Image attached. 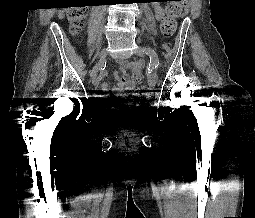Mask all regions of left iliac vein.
<instances>
[{"mask_svg":"<svg viewBox=\"0 0 255 218\" xmlns=\"http://www.w3.org/2000/svg\"><path fill=\"white\" fill-rule=\"evenodd\" d=\"M135 54L137 56H140V57H144L145 56V52H144V50L142 48H138L135 51ZM157 81H158V74H157V72L155 70H153L151 75L148 78L149 85L154 87L156 85Z\"/></svg>","mask_w":255,"mask_h":218,"instance_id":"left-iliac-vein-1","label":"left iliac vein"}]
</instances>
